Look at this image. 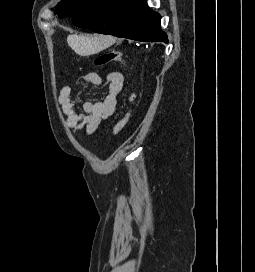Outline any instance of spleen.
<instances>
[{"mask_svg": "<svg viewBox=\"0 0 255 272\" xmlns=\"http://www.w3.org/2000/svg\"><path fill=\"white\" fill-rule=\"evenodd\" d=\"M114 42L113 38L102 36L69 35L68 45L81 56L96 54L109 47Z\"/></svg>", "mask_w": 255, "mask_h": 272, "instance_id": "obj_1", "label": "spleen"}]
</instances>
